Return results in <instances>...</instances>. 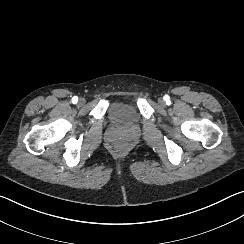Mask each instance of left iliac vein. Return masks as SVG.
Segmentation results:
<instances>
[{"label": "left iliac vein", "instance_id": "left-iliac-vein-1", "mask_svg": "<svg viewBox=\"0 0 244 244\" xmlns=\"http://www.w3.org/2000/svg\"><path fill=\"white\" fill-rule=\"evenodd\" d=\"M158 104H159L161 107L165 106V102H164V100H163L162 98H160V99L158 100Z\"/></svg>", "mask_w": 244, "mask_h": 244}]
</instances>
